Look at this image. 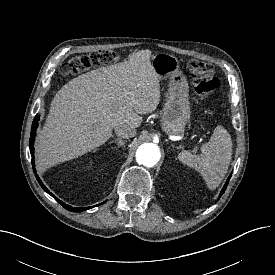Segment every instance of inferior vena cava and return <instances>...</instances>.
Wrapping results in <instances>:
<instances>
[{"mask_svg":"<svg viewBox=\"0 0 275 275\" xmlns=\"http://www.w3.org/2000/svg\"><path fill=\"white\" fill-rule=\"evenodd\" d=\"M115 134L120 138H132L136 135V129L129 125H118L115 127Z\"/></svg>","mask_w":275,"mask_h":275,"instance_id":"inferior-vena-cava-1","label":"inferior vena cava"}]
</instances>
